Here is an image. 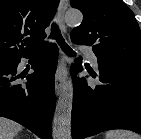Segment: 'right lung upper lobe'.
I'll list each match as a JSON object with an SVG mask.
<instances>
[{"instance_id":"cb5924a9","label":"right lung upper lobe","mask_w":141,"mask_h":139,"mask_svg":"<svg viewBox=\"0 0 141 139\" xmlns=\"http://www.w3.org/2000/svg\"><path fill=\"white\" fill-rule=\"evenodd\" d=\"M58 3L59 0H0V58L13 60L46 46L44 30Z\"/></svg>"}]
</instances>
